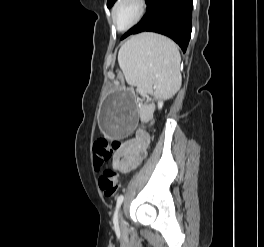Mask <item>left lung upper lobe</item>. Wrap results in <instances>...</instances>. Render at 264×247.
<instances>
[{"label":"left lung upper lobe","instance_id":"left-lung-upper-lobe-1","mask_svg":"<svg viewBox=\"0 0 264 247\" xmlns=\"http://www.w3.org/2000/svg\"><path fill=\"white\" fill-rule=\"evenodd\" d=\"M116 0H107V7L110 8Z\"/></svg>","mask_w":264,"mask_h":247}]
</instances>
